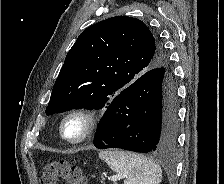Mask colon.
Wrapping results in <instances>:
<instances>
[{"mask_svg": "<svg viewBox=\"0 0 224 184\" xmlns=\"http://www.w3.org/2000/svg\"><path fill=\"white\" fill-rule=\"evenodd\" d=\"M64 181L65 184H87L82 170L65 160L45 163L41 168V184H57Z\"/></svg>", "mask_w": 224, "mask_h": 184, "instance_id": "obj_1", "label": "colon"}]
</instances>
